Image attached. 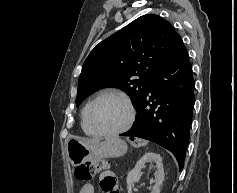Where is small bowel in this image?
I'll return each instance as SVG.
<instances>
[{"mask_svg":"<svg viewBox=\"0 0 237 193\" xmlns=\"http://www.w3.org/2000/svg\"><path fill=\"white\" fill-rule=\"evenodd\" d=\"M100 187L104 193H118L116 175L112 171H103L100 175ZM79 193H94L91 184L85 185Z\"/></svg>","mask_w":237,"mask_h":193,"instance_id":"c3829d8e","label":"small bowel"}]
</instances>
